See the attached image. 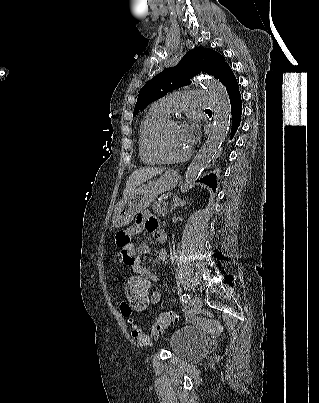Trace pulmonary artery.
I'll use <instances>...</instances> for the list:
<instances>
[{
	"label": "pulmonary artery",
	"instance_id": "e3ab8cb5",
	"mask_svg": "<svg viewBox=\"0 0 319 403\" xmlns=\"http://www.w3.org/2000/svg\"><path fill=\"white\" fill-rule=\"evenodd\" d=\"M155 107L168 115L189 107L208 108L213 105L211 94L202 90H190L167 95L157 102Z\"/></svg>",
	"mask_w": 319,
	"mask_h": 403
}]
</instances>
